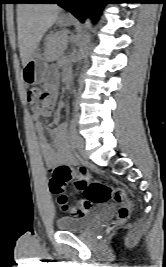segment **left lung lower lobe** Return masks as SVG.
Masks as SVG:
<instances>
[{"mask_svg": "<svg viewBox=\"0 0 166 267\" xmlns=\"http://www.w3.org/2000/svg\"><path fill=\"white\" fill-rule=\"evenodd\" d=\"M47 3H57L70 11L81 22L90 15L94 20L100 15L107 0H50Z\"/></svg>", "mask_w": 166, "mask_h": 267, "instance_id": "1", "label": "left lung lower lobe"}]
</instances>
